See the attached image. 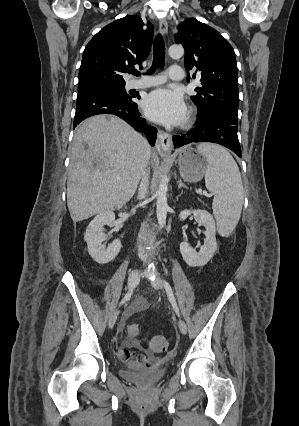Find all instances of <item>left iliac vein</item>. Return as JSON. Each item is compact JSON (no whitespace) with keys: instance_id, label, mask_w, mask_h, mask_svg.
I'll return each mask as SVG.
<instances>
[{"instance_id":"1","label":"left iliac vein","mask_w":299,"mask_h":426,"mask_svg":"<svg viewBox=\"0 0 299 426\" xmlns=\"http://www.w3.org/2000/svg\"><path fill=\"white\" fill-rule=\"evenodd\" d=\"M150 283H151L152 287L155 288V289H162L163 288V281L159 277H156ZM178 327H179L180 332L182 334L185 335L187 333V325L182 319H179Z\"/></svg>"}]
</instances>
